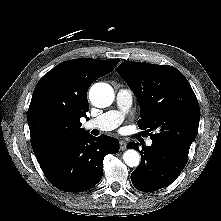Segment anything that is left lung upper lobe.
Listing matches in <instances>:
<instances>
[{"instance_id": "obj_1", "label": "left lung upper lobe", "mask_w": 221, "mask_h": 221, "mask_svg": "<svg viewBox=\"0 0 221 221\" xmlns=\"http://www.w3.org/2000/svg\"><path fill=\"white\" fill-rule=\"evenodd\" d=\"M117 73L135 92L140 105V129L154 142L168 145L188 156L200 120L197 98L176 68L140 62H123Z\"/></svg>"}]
</instances>
